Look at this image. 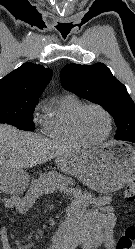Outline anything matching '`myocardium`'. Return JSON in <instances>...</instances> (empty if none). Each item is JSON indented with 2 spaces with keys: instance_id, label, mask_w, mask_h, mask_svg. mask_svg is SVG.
<instances>
[{
  "instance_id": "myocardium-1",
  "label": "myocardium",
  "mask_w": 135,
  "mask_h": 249,
  "mask_svg": "<svg viewBox=\"0 0 135 249\" xmlns=\"http://www.w3.org/2000/svg\"><path fill=\"white\" fill-rule=\"evenodd\" d=\"M90 108H95L99 110L107 119L108 121V130L106 134L100 138V139H90L88 138L82 131L80 120L83 115V113ZM73 126L76 134L79 136V138L85 142V144H100L104 141H106L112 134L113 131V118L108 110H106L103 106L96 104V103H88L83 104L75 113L73 117Z\"/></svg>"
}]
</instances>
